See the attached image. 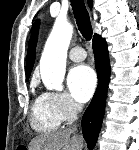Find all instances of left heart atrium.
Masks as SVG:
<instances>
[{
	"mask_svg": "<svg viewBox=\"0 0 139 150\" xmlns=\"http://www.w3.org/2000/svg\"><path fill=\"white\" fill-rule=\"evenodd\" d=\"M67 83L72 97L83 103L93 95L97 78L92 68L87 65H79L69 72Z\"/></svg>",
	"mask_w": 139,
	"mask_h": 150,
	"instance_id": "left-heart-atrium-1",
	"label": "left heart atrium"
}]
</instances>
